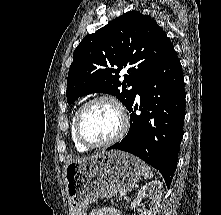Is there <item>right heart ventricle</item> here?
I'll use <instances>...</instances> for the list:
<instances>
[{
    "mask_svg": "<svg viewBox=\"0 0 221 215\" xmlns=\"http://www.w3.org/2000/svg\"><path fill=\"white\" fill-rule=\"evenodd\" d=\"M77 110L73 113L72 118H71V122H70V136L72 139V142L74 144V147L77 151L79 152H85L87 150H89L88 147L83 146L82 144H80L78 142V140L76 139L75 136V132H74V121H75V116H76Z\"/></svg>",
    "mask_w": 221,
    "mask_h": 215,
    "instance_id": "e07e8e85",
    "label": "right heart ventricle"
}]
</instances>
